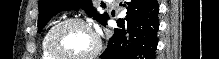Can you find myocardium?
I'll use <instances>...</instances> for the list:
<instances>
[{
  "instance_id": "obj_1",
  "label": "myocardium",
  "mask_w": 219,
  "mask_h": 59,
  "mask_svg": "<svg viewBox=\"0 0 219 59\" xmlns=\"http://www.w3.org/2000/svg\"><path fill=\"white\" fill-rule=\"evenodd\" d=\"M81 25L86 27L94 36L95 38V46L92 51L87 54L80 55V56H71L64 54L59 48L57 44V38L59 33L69 25ZM49 52L57 59H93L98 56L101 51L102 42L99 36L93 31L90 25L83 19L74 17V18H67L64 19L53 26L49 35H48V42H47Z\"/></svg>"
}]
</instances>
